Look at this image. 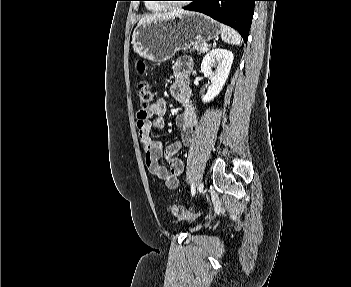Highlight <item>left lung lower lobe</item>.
<instances>
[{"label": "left lung lower lobe", "instance_id": "left-lung-lower-lobe-1", "mask_svg": "<svg viewBox=\"0 0 351 287\" xmlns=\"http://www.w3.org/2000/svg\"><path fill=\"white\" fill-rule=\"evenodd\" d=\"M185 10L197 11L235 28L247 42L257 0H191Z\"/></svg>", "mask_w": 351, "mask_h": 287}]
</instances>
